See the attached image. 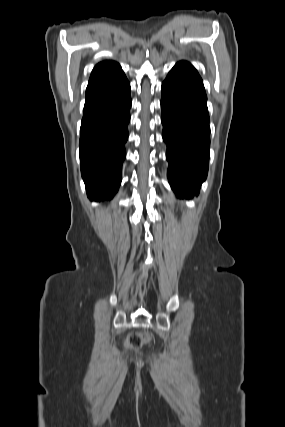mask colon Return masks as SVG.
I'll list each match as a JSON object with an SVG mask.
<instances>
[{
    "instance_id": "5ec220e1",
    "label": "colon",
    "mask_w": 285,
    "mask_h": 427,
    "mask_svg": "<svg viewBox=\"0 0 285 427\" xmlns=\"http://www.w3.org/2000/svg\"><path fill=\"white\" fill-rule=\"evenodd\" d=\"M150 340L148 334L133 332L127 338V346L132 349H139Z\"/></svg>"
}]
</instances>
